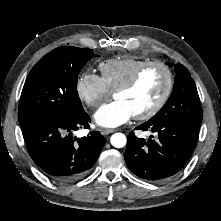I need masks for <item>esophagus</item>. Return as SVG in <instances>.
Listing matches in <instances>:
<instances>
[{
  "label": "esophagus",
  "mask_w": 221,
  "mask_h": 221,
  "mask_svg": "<svg viewBox=\"0 0 221 221\" xmlns=\"http://www.w3.org/2000/svg\"><path fill=\"white\" fill-rule=\"evenodd\" d=\"M115 131H116V129H102V130H101V133H102L103 135H108V134L113 133V132H115Z\"/></svg>",
  "instance_id": "1"
}]
</instances>
